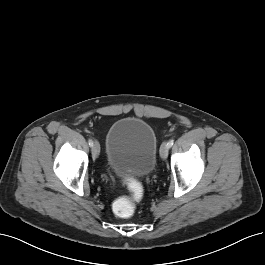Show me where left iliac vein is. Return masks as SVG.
<instances>
[{
    "label": "left iliac vein",
    "instance_id": "4c4485c4",
    "mask_svg": "<svg viewBox=\"0 0 265 265\" xmlns=\"http://www.w3.org/2000/svg\"><path fill=\"white\" fill-rule=\"evenodd\" d=\"M169 146L168 143L164 142L160 147V156L163 160L168 157Z\"/></svg>",
    "mask_w": 265,
    "mask_h": 265
}]
</instances>
